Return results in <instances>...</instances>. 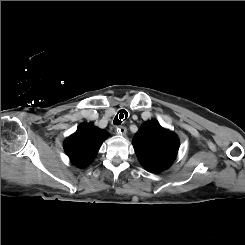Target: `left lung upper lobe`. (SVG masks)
<instances>
[{"instance_id": "1", "label": "left lung upper lobe", "mask_w": 245, "mask_h": 245, "mask_svg": "<svg viewBox=\"0 0 245 245\" xmlns=\"http://www.w3.org/2000/svg\"><path fill=\"white\" fill-rule=\"evenodd\" d=\"M132 143L141 165L153 173L169 168L180 146L178 136L156 121L143 123Z\"/></svg>"}]
</instances>
